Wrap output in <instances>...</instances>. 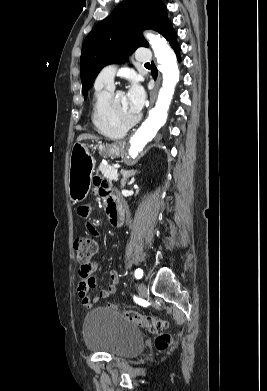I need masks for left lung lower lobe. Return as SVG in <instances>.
<instances>
[{"label": "left lung lower lobe", "mask_w": 267, "mask_h": 391, "mask_svg": "<svg viewBox=\"0 0 267 391\" xmlns=\"http://www.w3.org/2000/svg\"><path fill=\"white\" fill-rule=\"evenodd\" d=\"M165 39L169 41L171 47L174 49L176 55H177V58L178 60L180 61V47L177 43V33L175 32V30L173 29V27L164 35ZM152 76L154 79H156L157 77V69L155 68V66L153 65L152 67Z\"/></svg>", "instance_id": "obj_1"}]
</instances>
